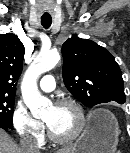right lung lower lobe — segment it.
I'll use <instances>...</instances> for the list:
<instances>
[{"mask_svg": "<svg viewBox=\"0 0 130 153\" xmlns=\"http://www.w3.org/2000/svg\"><path fill=\"white\" fill-rule=\"evenodd\" d=\"M0 128L4 129L5 131L10 130L9 127H7L6 125H4L3 123L0 122Z\"/></svg>", "mask_w": 130, "mask_h": 153, "instance_id": "98d812e1", "label": "right lung lower lobe"}]
</instances>
